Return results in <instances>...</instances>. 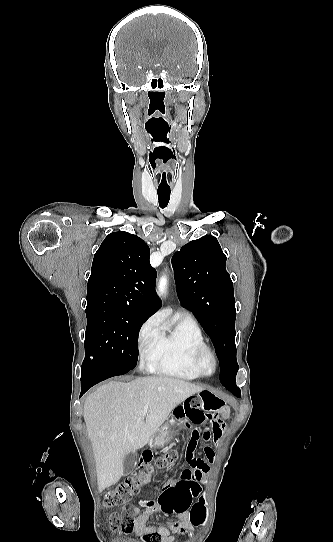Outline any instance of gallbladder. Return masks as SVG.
I'll return each mask as SVG.
<instances>
[{"mask_svg":"<svg viewBox=\"0 0 333 542\" xmlns=\"http://www.w3.org/2000/svg\"><path fill=\"white\" fill-rule=\"evenodd\" d=\"M137 458L138 456L136 452H133V454H126L123 462V476H128V474L133 472L136 466Z\"/></svg>","mask_w":333,"mask_h":542,"instance_id":"bac80fb5","label":"gallbladder"}]
</instances>
